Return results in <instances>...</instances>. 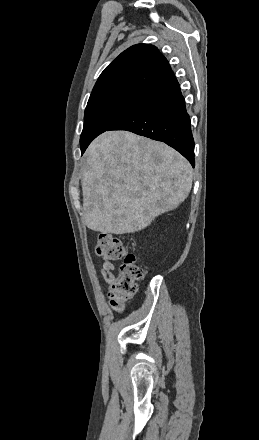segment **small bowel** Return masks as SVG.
<instances>
[{"label":"small bowel","mask_w":259,"mask_h":440,"mask_svg":"<svg viewBox=\"0 0 259 440\" xmlns=\"http://www.w3.org/2000/svg\"><path fill=\"white\" fill-rule=\"evenodd\" d=\"M113 269L114 265L109 261H103L99 269L101 276L109 283H111L115 278L112 273Z\"/></svg>","instance_id":"c3829d8e"}]
</instances>
